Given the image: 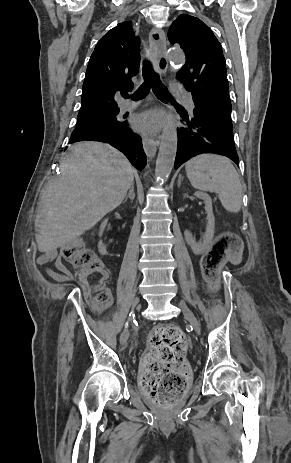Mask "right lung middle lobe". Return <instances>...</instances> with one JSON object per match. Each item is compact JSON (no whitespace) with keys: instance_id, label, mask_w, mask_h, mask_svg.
<instances>
[{"instance_id":"dd1d6c3e","label":"right lung middle lobe","mask_w":291,"mask_h":463,"mask_svg":"<svg viewBox=\"0 0 291 463\" xmlns=\"http://www.w3.org/2000/svg\"><path fill=\"white\" fill-rule=\"evenodd\" d=\"M118 110L112 112L102 113L89 118H82L77 120V125L72 134L86 132L94 128L118 125L117 114Z\"/></svg>"}]
</instances>
